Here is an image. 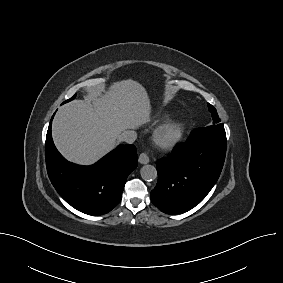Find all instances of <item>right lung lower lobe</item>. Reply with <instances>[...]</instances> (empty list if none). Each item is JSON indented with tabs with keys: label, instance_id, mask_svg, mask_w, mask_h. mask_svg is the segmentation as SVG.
<instances>
[{
	"label": "right lung lower lobe",
	"instance_id": "obj_1",
	"mask_svg": "<svg viewBox=\"0 0 283 283\" xmlns=\"http://www.w3.org/2000/svg\"><path fill=\"white\" fill-rule=\"evenodd\" d=\"M53 116L45 143L51 183L59 195L78 211L94 216L110 212L121 201L127 176L137 167L136 147L119 145L91 166L75 165L66 161L53 143Z\"/></svg>",
	"mask_w": 283,
	"mask_h": 283
}]
</instances>
